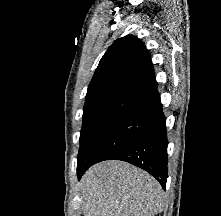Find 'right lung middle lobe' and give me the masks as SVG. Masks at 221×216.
Instances as JSON below:
<instances>
[{
    "label": "right lung middle lobe",
    "instance_id": "dd1d6c3e",
    "mask_svg": "<svg viewBox=\"0 0 221 216\" xmlns=\"http://www.w3.org/2000/svg\"><path fill=\"white\" fill-rule=\"evenodd\" d=\"M148 120L147 114L118 113L83 123L77 167L105 160L139 135Z\"/></svg>",
    "mask_w": 221,
    "mask_h": 216
}]
</instances>
